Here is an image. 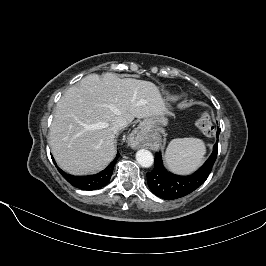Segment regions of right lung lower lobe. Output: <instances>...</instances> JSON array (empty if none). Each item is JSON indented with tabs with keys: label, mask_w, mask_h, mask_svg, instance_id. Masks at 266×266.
I'll return each mask as SVG.
<instances>
[{
	"label": "right lung lower lobe",
	"mask_w": 266,
	"mask_h": 266,
	"mask_svg": "<svg viewBox=\"0 0 266 266\" xmlns=\"http://www.w3.org/2000/svg\"><path fill=\"white\" fill-rule=\"evenodd\" d=\"M119 157V153H117L116 158L109 164V166L104 169L103 171L99 172L95 175H89V176H73L70 174L65 173L60 168L57 167L54 159L53 162L56 165L58 171L60 174L74 187L82 189V190H95L99 189L101 187H104L109 182L112 173L113 168L115 165V162L117 158Z\"/></svg>",
	"instance_id": "right-lung-lower-lobe-1"
}]
</instances>
